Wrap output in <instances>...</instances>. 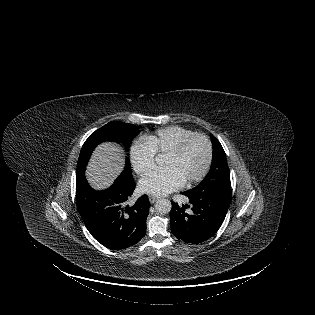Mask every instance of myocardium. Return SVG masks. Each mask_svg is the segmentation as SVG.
Listing matches in <instances>:
<instances>
[{
	"instance_id": "myocardium-1",
	"label": "myocardium",
	"mask_w": 315,
	"mask_h": 315,
	"mask_svg": "<svg viewBox=\"0 0 315 315\" xmlns=\"http://www.w3.org/2000/svg\"><path fill=\"white\" fill-rule=\"evenodd\" d=\"M195 139L204 140V142L206 144V148H207V156H206L205 164H204L202 170L200 171V173L197 174L196 176L186 180L187 184L197 183V182L203 180L206 177V175L208 174L210 167H211V164H212V160H213V145H212L211 140L205 134L194 133L193 135H190V136L186 137L185 139L181 140L178 144H176L173 148H171L167 152V155L179 156L185 151L187 146L192 141H194Z\"/></svg>"
}]
</instances>
